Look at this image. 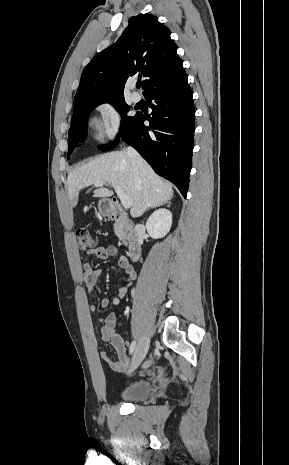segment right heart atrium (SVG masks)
<instances>
[{
	"mask_svg": "<svg viewBox=\"0 0 289 465\" xmlns=\"http://www.w3.org/2000/svg\"><path fill=\"white\" fill-rule=\"evenodd\" d=\"M100 114L98 130L100 135L107 140L118 137L122 126V115L119 108L110 101H105L97 106Z\"/></svg>",
	"mask_w": 289,
	"mask_h": 465,
	"instance_id": "1",
	"label": "right heart atrium"
}]
</instances>
